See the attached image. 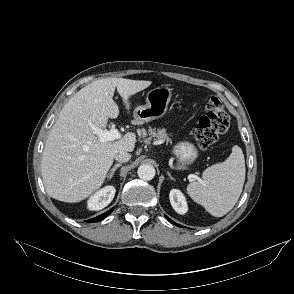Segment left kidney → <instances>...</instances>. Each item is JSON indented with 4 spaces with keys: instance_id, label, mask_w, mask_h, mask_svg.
<instances>
[{
    "instance_id": "left-kidney-1",
    "label": "left kidney",
    "mask_w": 294,
    "mask_h": 294,
    "mask_svg": "<svg viewBox=\"0 0 294 294\" xmlns=\"http://www.w3.org/2000/svg\"><path fill=\"white\" fill-rule=\"evenodd\" d=\"M170 203L178 214H185L188 210L186 199L178 189H172L169 194Z\"/></svg>"
}]
</instances>
